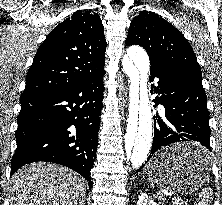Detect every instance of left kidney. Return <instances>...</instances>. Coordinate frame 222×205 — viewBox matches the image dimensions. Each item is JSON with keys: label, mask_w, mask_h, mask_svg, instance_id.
<instances>
[{"label": "left kidney", "mask_w": 222, "mask_h": 205, "mask_svg": "<svg viewBox=\"0 0 222 205\" xmlns=\"http://www.w3.org/2000/svg\"><path fill=\"white\" fill-rule=\"evenodd\" d=\"M137 205H158V204L155 203L153 200H151V198L146 193H143L139 197Z\"/></svg>", "instance_id": "5707ae66"}]
</instances>
